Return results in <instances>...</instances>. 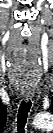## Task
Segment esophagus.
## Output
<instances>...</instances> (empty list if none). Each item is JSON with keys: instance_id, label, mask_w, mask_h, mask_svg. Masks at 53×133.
<instances>
[{"instance_id": "obj_1", "label": "esophagus", "mask_w": 53, "mask_h": 133, "mask_svg": "<svg viewBox=\"0 0 53 133\" xmlns=\"http://www.w3.org/2000/svg\"><path fill=\"white\" fill-rule=\"evenodd\" d=\"M21 95L25 100H29L32 96V91L29 89H24L21 91Z\"/></svg>"}]
</instances>
